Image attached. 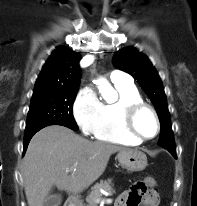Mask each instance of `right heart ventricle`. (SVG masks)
I'll list each match as a JSON object with an SVG mask.
<instances>
[{
    "label": "right heart ventricle",
    "mask_w": 197,
    "mask_h": 206,
    "mask_svg": "<svg viewBox=\"0 0 197 206\" xmlns=\"http://www.w3.org/2000/svg\"><path fill=\"white\" fill-rule=\"evenodd\" d=\"M119 98L113 103H101V113L93 131L97 140L114 144L138 145L140 141L128 135L122 126L121 111L124 105L141 102L142 97L133 83H114Z\"/></svg>",
    "instance_id": "right-heart-ventricle-1"
}]
</instances>
